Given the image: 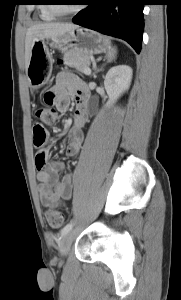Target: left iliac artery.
<instances>
[{
  "label": "left iliac artery",
  "mask_w": 181,
  "mask_h": 300,
  "mask_svg": "<svg viewBox=\"0 0 181 300\" xmlns=\"http://www.w3.org/2000/svg\"><path fill=\"white\" fill-rule=\"evenodd\" d=\"M74 226V222L70 221L66 226H64L61 230V236L66 235Z\"/></svg>",
  "instance_id": "obj_1"
}]
</instances>
